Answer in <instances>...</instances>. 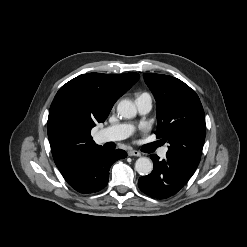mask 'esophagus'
<instances>
[{
	"instance_id": "esophagus-1",
	"label": "esophagus",
	"mask_w": 247,
	"mask_h": 247,
	"mask_svg": "<svg viewBox=\"0 0 247 247\" xmlns=\"http://www.w3.org/2000/svg\"><path fill=\"white\" fill-rule=\"evenodd\" d=\"M128 155H129V156H136V157H139V156H141L142 154H141V152H139V151H137V150H130V151H128Z\"/></svg>"
}]
</instances>
